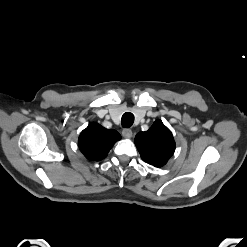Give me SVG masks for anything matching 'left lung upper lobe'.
Instances as JSON below:
<instances>
[{"label": "left lung upper lobe", "mask_w": 247, "mask_h": 247, "mask_svg": "<svg viewBox=\"0 0 247 247\" xmlns=\"http://www.w3.org/2000/svg\"><path fill=\"white\" fill-rule=\"evenodd\" d=\"M135 145L141 158L156 167L165 165L175 150L172 133L161 120L155 121L148 131L139 132Z\"/></svg>", "instance_id": "obj_1"}]
</instances>
